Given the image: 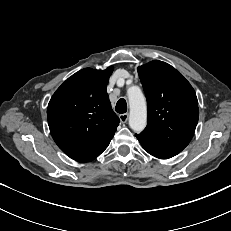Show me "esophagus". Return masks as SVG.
<instances>
[{"instance_id": "obj_1", "label": "esophagus", "mask_w": 231, "mask_h": 231, "mask_svg": "<svg viewBox=\"0 0 231 231\" xmlns=\"http://www.w3.org/2000/svg\"><path fill=\"white\" fill-rule=\"evenodd\" d=\"M128 117H129L128 113H124V114L119 115V119H120L121 123H126L128 120Z\"/></svg>"}]
</instances>
